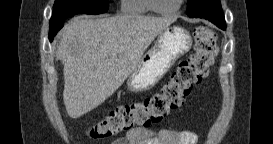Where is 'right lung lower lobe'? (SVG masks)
<instances>
[{"instance_id": "1", "label": "right lung lower lobe", "mask_w": 273, "mask_h": 144, "mask_svg": "<svg viewBox=\"0 0 273 144\" xmlns=\"http://www.w3.org/2000/svg\"><path fill=\"white\" fill-rule=\"evenodd\" d=\"M54 36H55V35L49 36L50 41L53 40Z\"/></svg>"}]
</instances>
